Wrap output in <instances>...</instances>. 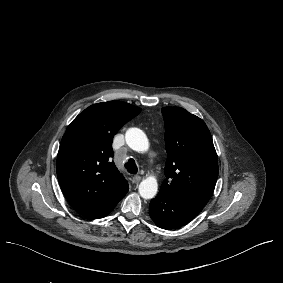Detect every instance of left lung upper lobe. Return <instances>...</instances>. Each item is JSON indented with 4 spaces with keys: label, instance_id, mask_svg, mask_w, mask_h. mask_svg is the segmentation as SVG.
<instances>
[{
    "label": "left lung upper lobe",
    "instance_id": "left-lung-upper-lobe-1",
    "mask_svg": "<svg viewBox=\"0 0 283 283\" xmlns=\"http://www.w3.org/2000/svg\"><path fill=\"white\" fill-rule=\"evenodd\" d=\"M167 161L160 192L206 204L218 177L210 131L199 117L179 107H164Z\"/></svg>",
    "mask_w": 283,
    "mask_h": 283
}]
</instances>
